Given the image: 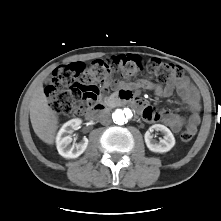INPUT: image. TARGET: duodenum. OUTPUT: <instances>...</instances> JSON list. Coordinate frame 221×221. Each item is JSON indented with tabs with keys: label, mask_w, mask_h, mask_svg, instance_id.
Returning a JSON list of instances; mask_svg holds the SVG:
<instances>
[{
	"label": "duodenum",
	"mask_w": 221,
	"mask_h": 221,
	"mask_svg": "<svg viewBox=\"0 0 221 221\" xmlns=\"http://www.w3.org/2000/svg\"><path fill=\"white\" fill-rule=\"evenodd\" d=\"M116 102H128L132 106L141 109L144 101L141 99L133 98L129 91L121 90L113 94L111 100H109L107 103H93L91 107H88L83 110L82 115L86 119L93 120L99 112L105 111L106 109H108L109 105Z\"/></svg>",
	"instance_id": "1"
}]
</instances>
